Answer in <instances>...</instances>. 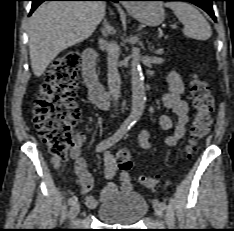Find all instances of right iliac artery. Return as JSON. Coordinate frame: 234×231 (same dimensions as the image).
<instances>
[{
	"label": "right iliac artery",
	"mask_w": 234,
	"mask_h": 231,
	"mask_svg": "<svg viewBox=\"0 0 234 231\" xmlns=\"http://www.w3.org/2000/svg\"><path fill=\"white\" fill-rule=\"evenodd\" d=\"M133 124H134V122L132 120H129V119L125 120L122 123V125L120 126V128L110 138L100 142L96 146V151L97 152H102L106 148H108L109 145L117 143L127 133V131L131 128V126ZM76 202H77V197L76 196H72L69 199V205H73Z\"/></svg>",
	"instance_id": "obj_1"
}]
</instances>
